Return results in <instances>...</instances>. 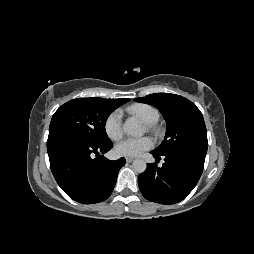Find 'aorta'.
Masks as SVG:
<instances>
[{"mask_svg":"<svg viewBox=\"0 0 254 254\" xmlns=\"http://www.w3.org/2000/svg\"><path fill=\"white\" fill-rule=\"evenodd\" d=\"M123 130L128 136L138 137L141 136L144 132L141 124L135 119H127L123 125ZM132 168L135 172L143 173L147 164L142 159H136L132 163Z\"/></svg>","mask_w":254,"mask_h":254,"instance_id":"1","label":"aorta"}]
</instances>
